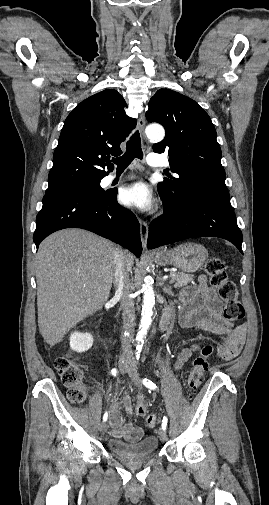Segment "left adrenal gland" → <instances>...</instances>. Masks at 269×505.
<instances>
[{
  "label": "left adrenal gland",
  "mask_w": 269,
  "mask_h": 505,
  "mask_svg": "<svg viewBox=\"0 0 269 505\" xmlns=\"http://www.w3.org/2000/svg\"><path fill=\"white\" fill-rule=\"evenodd\" d=\"M160 285H161V286H163V281H162V280H161V282H160ZM163 291H164L166 294H168V295H170V296H173V292H172V290H171V287H170V286H164V287H163Z\"/></svg>",
  "instance_id": "1"
}]
</instances>
